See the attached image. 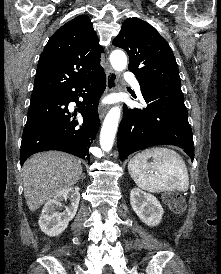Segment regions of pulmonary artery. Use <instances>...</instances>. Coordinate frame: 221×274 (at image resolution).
Returning a JSON list of instances; mask_svg holds the SVG:
<instances>
[{
	"mask_svg": "<svg viewBox=\"0 0 221 274\" xmlns=\"http://www.w3.org/2000/svg\"><path fill=\"white\" fill-rule=\"evenodd\" d=\"M125 79L130 81L133 85V87L140 92V85L137 81V79L135 78V76L131 73V72H126L124 75Z\"/></svg>",
	"mask_w": 221,
	"mask_h": 274,
	"instance_id": "e3ab8cb5",
	"label": "pulmonary artery"
}]
</instances>
